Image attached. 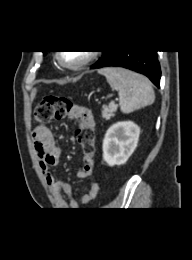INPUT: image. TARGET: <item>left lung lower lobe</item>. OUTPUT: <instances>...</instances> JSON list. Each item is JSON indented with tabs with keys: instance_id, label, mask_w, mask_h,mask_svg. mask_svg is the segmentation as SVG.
Instances as JSON below:
<instances>
[{
	"instance_id": "1",
	"label": "left lung lower lobe",
	"mask_w": 192,
	"mask_h": 260,
	"mask_svg": "<svg viewBox=\"0 0 192 260\" xmlns=\"http://www.w3.org/2000/svg\"><path fill=\"white\" fill-rule=\"evenodd\" d=\"M156 52V50L103 51L100 60L91 68L124 67L146 75L157 87H160L161 71Z\"/></svg>"
}]
</instances>
